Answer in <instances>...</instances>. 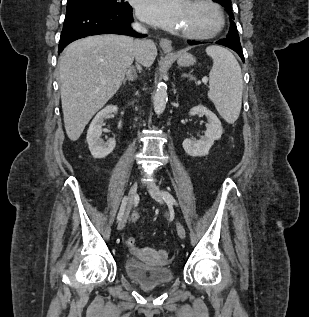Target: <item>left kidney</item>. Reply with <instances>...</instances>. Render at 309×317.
Wrapping results in <instances>:
<instances>
[{
    "instance_id": "1",
    "label": "left kidney",
    "mask_w": 309,
    "mask_h": 317,
    "mask_svg": "<svg viewBox=\"0 0 309 317\" xmlns=\"http://www.w3.org/2000/svg\"><path fill=\"white\" fill-rule=\"evenodd\" d=\"M189 114L192 116L205 115L208 123L206 124L205 136L196 141L190 138L185 139L182 143L183 149L188 155L193 157L206 156L214 141L221 138L223 133L221 122L212 111L202 105L193 107Z\"/></svg>"
}]
</instances>
